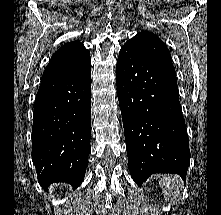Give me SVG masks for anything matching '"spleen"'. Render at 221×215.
Masks as SVG:
<instances>
[{"label": "spleen", "mask_w": 221, "mask_h": 215, "mask_svg": "<svg viewBox=\"0 0 221 215\" xmlns=\"http://www.w3.org/2000/svg\"><path fill=\"white\" fill-rule=\"evenodd\" d=\"M159 185L162 188L164 197L166 199L171 198V202L173 197L175 198L181 194L183 187L179 176L167 174L159 178Z\"/></svg>", "instance_id": "obj_1"}]
</instances>
